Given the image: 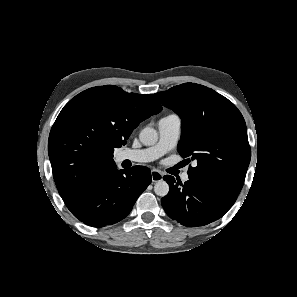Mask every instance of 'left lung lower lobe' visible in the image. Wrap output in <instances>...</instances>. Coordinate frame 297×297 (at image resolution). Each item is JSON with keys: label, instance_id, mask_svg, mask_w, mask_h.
I'll return each mask as SVG.
<instances>
[{"label": "left lung lower lobe", "instance_id": "0a47b994", "mask_svg": "<svg viewBox=\"0 0 297 297\" xmlns=\"http://www.w3.org/2000/svg\"><path fill=\"white\" fill-rule=\"evenodd\" d=\"M169 193L161 203L168 216L184 226H203L221 218L233 205L210 189L188 180L182 184L174 177H163Z\"/></svg>", "mask_w": 297, "mask_h": 297}]
</instances>
